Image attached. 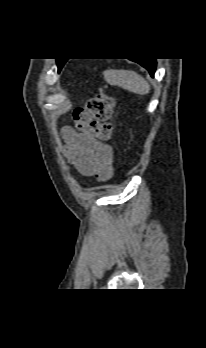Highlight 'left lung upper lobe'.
I'll return each instance as SVG.
<instances>
[{
    "label": "left lung upper lobe",
    "mask_w": 206,
    "mask_h": 348,
    "mask_svg": "<svg viewBox=\"0 0 206 348\" xmlns=\"http://www.w3.org/2000/svg\"><path fill=\"white\" fill-rule=\"evenodd\" d=\"M65 62H66V60L57 59V65H58L59 70L62 68V66L64 65Z\"/></svg>",
    "instance_id": "5c2ea615"
}]
</instances>
